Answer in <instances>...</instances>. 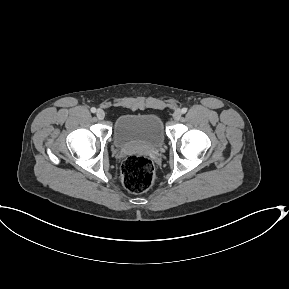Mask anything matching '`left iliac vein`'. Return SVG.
I'll return each instance as SVG.
<instances>
[{
	"label": "left iliac vein",
	"mask_w": 289,
	"mask_h": 289,
	"mask_svg": "<svg viewBox=\"0 0 289 289\" xmlns=\"http://www.w3.org/2000/svg\"><path fill=\"white\" fill-rule=\"evenodd\" d=\"M181 115H182V112L181 110L178 109L173 113V119L175 121H178L181 118Z\"/></svg>",
	"instance_id": "4c4485c4"
}]
</instances>
